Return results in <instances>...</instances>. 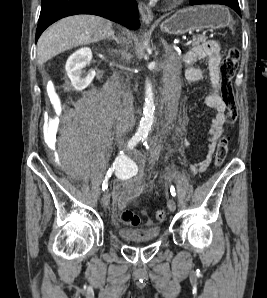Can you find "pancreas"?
I'll return each instance as SVG.
<instances>
[{
    "label": "pancreas",
    "instance_id": "pancreas-1",
    "mask_svg": "<svg viewBox=\"0 0 267 298\" xmlns=\"http://www.w3.org/2000/svg\"><path fill=\"white\" fill-rule=\"evenodd\" d=\"M207 37L205 35H198L193 38L192 46H197L200 43L205 42Z\"/></svg>",
    "mask_w": 267,
    "mask_h": 298
}]
</instances>
